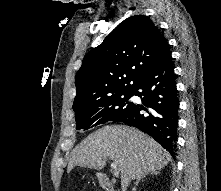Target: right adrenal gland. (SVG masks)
<instances>
[{"instance_id": "1", "label": "right adrenal gland", "mask_w": 221, "mask_h": 191, "mask_svg": "<svg viewBox=\"0 0 221 191\" xmlns=\"http://www.w3.org/2000/svg\"><path fill=\"white\" fill-rule=\"evenodd\" d=\"M148 174H150V175H157V174H159V172L154 171V172H151V173H148ZM148 174L142 175L140 178H138V179L136 180L135 186L133 187L132 191H136V187L138 186L139 182H140L142 179H144V178L146 177V175H148Z\"/></svg>"}]
</instances>
